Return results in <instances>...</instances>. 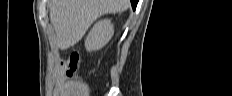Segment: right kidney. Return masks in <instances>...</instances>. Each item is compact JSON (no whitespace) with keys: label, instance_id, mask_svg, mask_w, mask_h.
Returning <instances> with one entry per match:
<instances>
[{"label":"right kidney","instance_id":"ca27d5eb","mask_svg":"<svg viewBox=\"0 0 232 96\" xmlns=\"http://www.w3.org/2000/svg\"><path fill=\"white\" fill-rule=\"evenodd\" d=\"M114 34L113 24L109 19L98 21L89 32L85 47L87 51H95L104 47Z\"/></svg>","mask_w":232,"mask_h":96}]
</instances>
